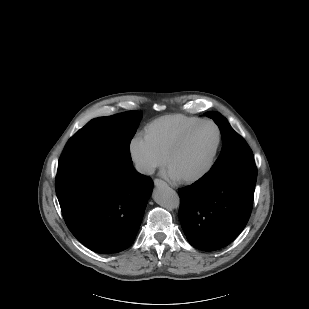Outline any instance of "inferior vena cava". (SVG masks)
I'll return each mask as SVG.
<instances>
[{
	"label": "inferior vena cava",
	"instance_id": "obj_1",
	"mask_svg": "<svg viewBox=\"0 0 309 309\" xmlns=\"http://www.w3.org/2000/svg\"><path fill=\"white\" fill-rule=\"evenodd\" d=\"M135 168L138 172L146 175H152L155 171L153 166L144 163H137Z\"/></svg>",
	"mask_w": 309,
	"mask_h": 309
}]
</instances>
